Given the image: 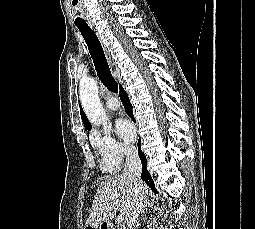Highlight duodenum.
I'll use <instances>...</instances> for the list:
<instances>
[{
	"label": "duodenum",
	"mask_w": 255,
	"mask_h": 229,
	"mask_svg": "<svg viewBox=\"0 0 255 229\" xmlns=\"http://www.w3.org/2000/svg\"><path fill=\"white\" fill-rule=\"evenodd\" d=\"M97 229H117L115 225L107 222H103L98 225Z\"/></svg>",
	"instance_id": "duodenum-1"
}]
</instances>
